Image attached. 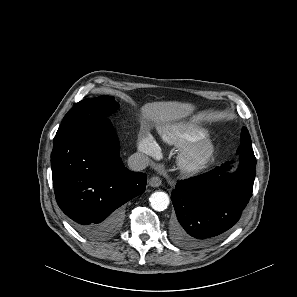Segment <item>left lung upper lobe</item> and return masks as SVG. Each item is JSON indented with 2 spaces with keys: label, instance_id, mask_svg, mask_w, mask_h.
<instances>
[{
  "label": "left lung upper lobe",
  "instance_id": "1",
  "mask_svg": "<svg viewBox=\"0 0 297 297\" xmlns=\"http://www.w3.org/2000/svg\"><path fill=\"white\" fill-rule=\"evenodd\" d=\"M238 154L250 155L254 154L251 144V137L246 127L242 128L241 142L237 149Z\"/></svg>",
  "mask_w": 297,
  "mask_h": 297
}]
</instances>
